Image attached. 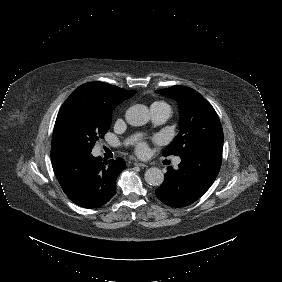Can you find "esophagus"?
<instances>
[{
  "label": "esophagus",
  "instance_id": "34e87169",
  "mask_svg": "<svg viewBox=\"0 0 282 282\" xmlns=\"http://www.w3.org/2000/svg\"><path fill=\"white\" fill-rule=\"evenodd\" d=\"M133 164H134L135 166L142 167V168H145V167H146L145 164L140 163V162H134Z\"/></svg>",
  "mask_w": 282,
  "mask_h": 282
}]
</instances>
